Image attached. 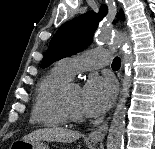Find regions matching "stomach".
<instances>
[{
  "mask_svg": "<svg viewBox=\"0 0 155 149\" xmlns=\"http://www.w3.org/2000/svg\"><path fill=\"white\" fill-rule=\"evenodd\" d=\"M13 149H50L42 140H18L12 144Z\"/></svg>",
  "mask_w": 155,
  "mask_h": 149,
  "instance_id": "stomach-1",
  "label": "stomach"
}]
</instances>
